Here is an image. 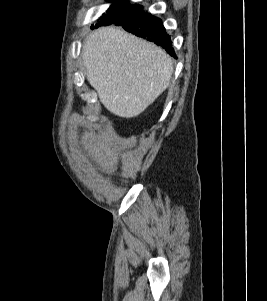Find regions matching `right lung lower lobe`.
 <instances>
[{"label": "right lung lower lobe", "mask_w": 267, "mask_h": 301, "mask_svg": "<svg viewBox=\"0 0 267 301\" xmlns=\"http://www.w3.org/2000/svg\"><path fill=\"white\" fill-rule=\"evenodd\" d=\"M128 32L161 45L171 56L175 57L170 36L165 32L161 19L150 13H136L115 23Z\"/></svg>", "instance_id": "1"}]
</instances>
